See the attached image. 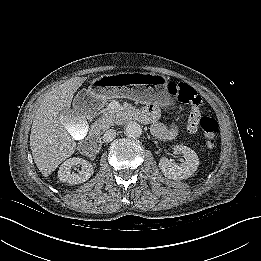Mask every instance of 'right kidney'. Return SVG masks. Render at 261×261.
<instances>
[{
    "label": "right kidney",
    "mask_w": 261,
    "mask_h": 261,
    "mask_svg": "<svg viewBox=\"0 0 261 261\" xmlns=\"http://www.w3.org/2000/svg\"><path fill=\"white\" fill-rule=\"evenodd\" d=\"M85 133L82 132L80 137L83 138ZM81 165V171L79 173L71 172V168L75 165ZM94 173V167L92 164L82 158L73 157L67 159L60 167L58 171V178L61 182L68 183L70 185H76L87 181Z\"/></svg>",
    "instance_id": "1"
}]
</instances>
